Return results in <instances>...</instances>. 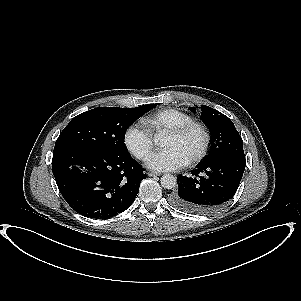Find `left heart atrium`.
<instances>
[{
  "mask_svg": "<svg viewBox=\"0 0 301 301\" xmlns=\"http://www.w3.org/2000/svg\"><path fill=\"white\" fill-rule=\"evenodd\" d=\"M187 164V159L171 149H163L149 155L146 159L148 168L157 171H177Z\"/></svg>",
  "mask_w": 301,
  "mask_h": 301,
  "instance_id": "1",
  "label": "left heart atrium"
}]
</instances>
